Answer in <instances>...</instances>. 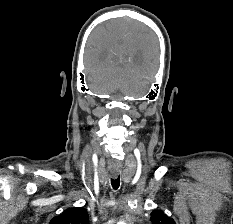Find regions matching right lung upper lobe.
Returning a JSON list of instances; mask_svg holds the SVG:
<instances>
[{
  "label": "right lung upper lobe",
  "instance_id": "obj_1",
  "mask_svg": "<svg viewBox=\"0 0 233 224\" xmlns=\"http://www.w3.org/2000/svg\"><path fill=\"white\" fill-rule=\"evenodd\" d=\"M50 224H89V216L83 207L69 208L54 217Z\"/></svg>",
  "mask_w": 233,
  "mask_h": 224
}]
</instances>
